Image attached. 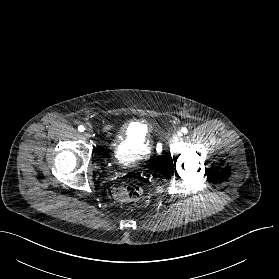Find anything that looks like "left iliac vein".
I'll list each match as a JSON object with an SVG mask.
<instances>
[{
    "label": "left iliac vein",
    "instance_id": "obj_1",
    "mask_svg": "<svg viewBox=\"0 0 279 279\" xmlns=\"http://www.w3.org/2000/svg\"><path fill=\"white\" fill-rule=\"evenodd\" d=\"M180 137H181V133L180 132L175 133L173 135L172 139H171V142L172 143H177L180 140Z\"/></svg>",
    "mask_w": 279,
    "mask_h": 279
}]
</instances>
